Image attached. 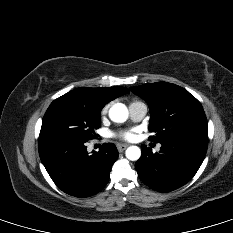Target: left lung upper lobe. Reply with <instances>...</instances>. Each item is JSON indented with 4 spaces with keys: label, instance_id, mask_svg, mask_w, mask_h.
Masks as SVG:
<instances>
[{
    "label": "left lung upper lobe",
    "instance_id": "left-lung-upper-lobe-1",
    "mask_svg": "<svg viewBox=\"0 0 233 233\" xmlns=\"http://www.w3.org/2000/svg\"><path fill=\"white\" fill-rule=\"evenodd\" d=\"M150 108L149 131L153 142L165 143L177 139L208 140V123L200 102L186 89L167 82L131 87Z\"/></svg>",
    "mask_w": 233,
    "mask_h": 233
}]
</instances>
